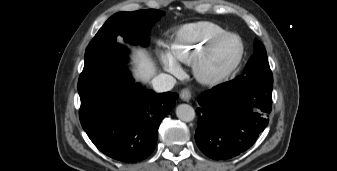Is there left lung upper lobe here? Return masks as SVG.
<instances>
[{"mask_svg": "<svg viewBox=\"0 0 337 171\" xmlns=\"http://www.w3.org/2000/svg\"><path fill=\"white\" fill-rule=\"evenodd\" d=\"M255 51L246 64L244 72L236 77H260L264 79H273L272 72L269 67L266 50L262 43L255 41Z\"/></svg>", "mask_w": 337, "mask_h": 171, "instance_id": "1", "label": "left lung upper lobe"}]
</instances>
